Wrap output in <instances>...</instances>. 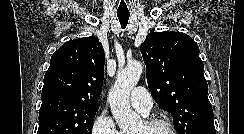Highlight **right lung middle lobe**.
<instances>
[{"label": "right lung middle lobe", "instance_id": "obj_1", "mask_svg": "<svg viewBox=\"0 0 244 134\" xmlns=\"http://www.w3.org/2000/svg\"><path fill=\"white\" fill-rule=\"evenodd\" d=\"M98 109L99 106L59 99L43 102L37 134H92V123Z\"/></svg>", "mask_w": 244, "mask_h": 134}]
</instances>
